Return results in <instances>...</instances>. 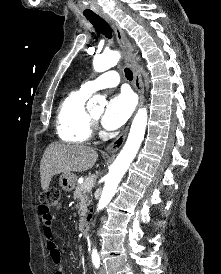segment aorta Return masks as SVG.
<instances>
[{"label":"aorta","mask_w":221,"mask_h":274,"mask_svg":"<svg viewBox=\"0 0 221 274\" xmlns=\"http://www.w3.org/2000/svg\"><path fill=\"white\" fill-rule=\"evenodd\" d=\"M119 59L120 53L118 51L101 54L94 58L93 68L96 72H104L111 67H114ZM101 102H103V98L99 95H95L89 100L90 104ZM147 119V109L145 107L139 109L132 121L127 141L106 176L97 211L102 210L110 202L116 192L119 182L136 156L144 138ZM96 252V249H93V253Z\"/></svg>","instance_id":"1"}]
</instances>
